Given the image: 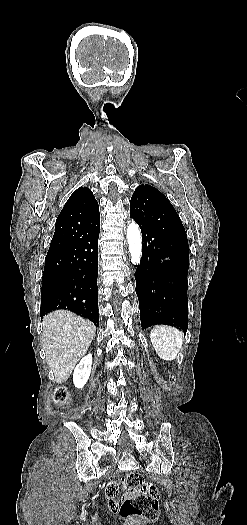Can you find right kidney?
Here are the masks:
<instances>
[{
	"instance_id": "obj_1",
	"label": "right kidney",
	"mask_w": 247,
	"mask_h": 525,
	"mask_svg": "<svg viewBox=\"0 0 247 525\" xmlns=\"http://www.w3.org/2000/svg\"><path fill=\"white\" fill-rule=\"evenodd\" d=\"M92 361V355H86V357H83L80 363L76 365L73 373V383L77 389H83L84 385H86L90 377Z\"/></svg>"
}]
</instances>
